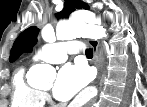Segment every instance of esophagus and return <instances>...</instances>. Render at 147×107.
I'll return each instance as SVG.
<instances>
[{
    "mask_svg": "<svg viewBox=\"0 0 147 107\" xmlns=\"http://www.w3.org/2000/svg\"><path fill=\"white\" fill-rule=\"evenodd\" d=\"M87 42L94 51V59L98 67L97 80H99L102 74V64L100 62V44L99 41L95 39H88Z\"/></svg>",
    "mask_w": 147,
    "mask_h": 107,
    "instance_id": "34e87169",
    "label": "esophagus"
}]
</instances>
